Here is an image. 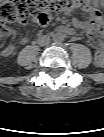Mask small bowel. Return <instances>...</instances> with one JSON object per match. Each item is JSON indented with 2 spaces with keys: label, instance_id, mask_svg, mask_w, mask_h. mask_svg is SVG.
Wrapping results in <instances>:
<instances>
[{
  "label": "small bowel",
  "instance_id": "small-bowel-1",
  "mask_svg": "<svg viewBox=\"0 0 104 137\" xmlns=\"http://www.w3.org/2000/svg\"><path fill=\"white\" fill-rule=\"evenodd\" d=\"M39 21V20H38ZM22 24L24 25L25 22L23 21ZM73 25L78 28H82L86 30V37L90 44L95 46L94 50V59L98 65H102L104 63V54L101 48V45L97 39L96 32L100 29L102 25V17L101 13L93 8V7H85L84 8V18L83 19H74ZM60 31L64 34H73V30L71 28H61ZM12 32L4 34V36L12 35ZM28 38L24 37L22 39V43H26ZM16 50V46L12 43L6 45L3 50L2 54L4 56H9L13 54Z\"/></svg>",
  "mask_w": 104,
  "mask_h": 137
}]
</instances>
